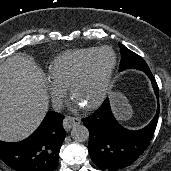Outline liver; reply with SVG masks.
Instances as JSON below:
<instances>
[{"label": "liver", "mask_w": 171, "mask_h": 171, "mask_svg": "<svg viewBox=\"0 0 171 171\" xmlns=\"http://www.w3.org/2000/svg\"><path fill=\"white\" fill-rule=\"evenodd\" d=\"M45 75L37 64L22 55L0 65V140L27 138L48 111Z\"/></svg>", "instance_id": "1"}]
</instances>
